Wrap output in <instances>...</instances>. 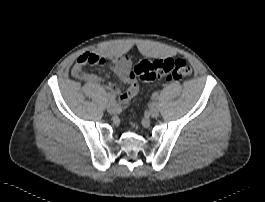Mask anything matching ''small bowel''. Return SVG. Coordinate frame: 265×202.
Masks as SVG:
<instances>
[{"instance_id": "obj_1", "label": "small bowel", "mask_w": 265, "mask_h": 202, "mask_svg": "<svg viewBox=\"0 0 265 202\" xmlns=\"http://www.w3.org/2000/svg\"><path fill=\"white\" fill-rule=\"evenodd\" d=\"M109 66L113 72L127 86L126 90H121L118 86L108 83L93 73H84L85 66ZM131 61L124 56L108 59L103 53L95 51L83 52L77 59L74 67V74L88 82L90 85H101L107 89L113 97H117L120 105H126L130 99L137 95L139 86L136 79L131 74Z\"/></svg>"}]
</instances>
